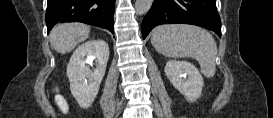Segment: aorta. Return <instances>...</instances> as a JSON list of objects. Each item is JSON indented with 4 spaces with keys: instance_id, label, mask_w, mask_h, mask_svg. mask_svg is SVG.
I'll return each mask as SVG.
<instances>
[{
    "instance_id": "aorta-1",
    "label": "aorta",
    "mask_w": 273,
    "mask_h": 118,
    "mask_svg": "<svg viewBox=\"0 0 273 118\" xmlns=\"http://www.w3.org/2000/svg\"><path fill=\"white\" fill-rule=\"evenodd\" d=\"M153 0H136L135 11L139 15H143L149 11L152 6Z\"/></svg>"
}]
</instances>
